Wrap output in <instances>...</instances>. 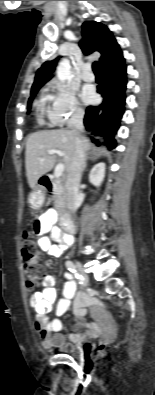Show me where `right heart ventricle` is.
<instances>
[{
    "instance_id": "e07e8e85",
    "label": "right heart ventricle",
    "mask_w": 155,
    "mask_h": 395,
    "mask_svg": "<svg viewBox=\"0 0 155 395\" xmlns=\"http://www.w3.org/2000/svg\"><path fill=\"white\" fill-rule=\"evenodd\" d=\"M45 101H46V97H44V96H42V97L40 98V100L38 101V107H39L40 109L43 108Z\"/></svg>"
}]
</instances>
